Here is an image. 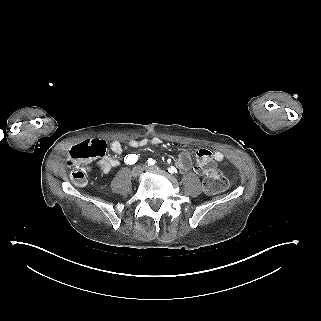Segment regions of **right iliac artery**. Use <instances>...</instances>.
I'll return each instance as SVG.
<instances>
[{"label": "right iliac artery", "mask_w": 321, "mask_h": 321, "mask_svg": "<svg viewBox=\"0 0 321 321\" xmlns=\"http://www.w3.org/2000/svg\"><path fill=\"white\" fill-rule=\"evenodd\" d=\"M138 156L136 154H129L125 157L124 162L127 165H133L137 162Z\"/></svg>", "instance_id": "1"}]
</instances>
